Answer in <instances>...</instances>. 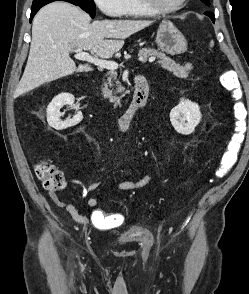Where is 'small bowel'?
I'll return each mask as SVG.
<instances>
[{
    "mask_svg": "<svg viewBox=\"0 0 249 294\" xmlns=\"http://www.w3.org/2000/svg\"><path fill=\"white\" fill-rule=\"evenodd\" d=\"M152 182V173L148 172L144 175L140 180L131 181L124 180L120 181L116 184V189L119 191H133L137 189H141ZM100 186V183L95 182L90 184L86 191L90 192L97 189ZM54 201H57V197L52 195ZM86 204L90 208H94L95 210L92 212L90 218H87L83 214H81L78 209L72 203H63L62 206L69 213L71 218L78 224L82 226H88L92 224L97 229L108 230L119 227L123 222V217L118 214H106L100 209H97L99 205V199L95 196H91L87 198Z\"/></svg>",
    "mask_w": 249,
    "mask_h": 294,
    "instance_id": "small-bowel-1",
    "label": "small bowel"
}]
</instances>
